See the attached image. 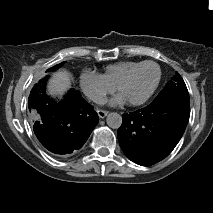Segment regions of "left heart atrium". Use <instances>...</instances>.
<instances>
[{
  "label": "left heart atrium",
  "mask_w": 213,
  "mask_h": 213,
  "mask_svg": "<svg viewBox=\"0 0 213 213\" xmlns=\"http://www.w3.org/2000/svg\"><path fill=\"white\" fill-rule=\"evenodd\" d=\"M110 103L112 105H123L127 103V100L119 93L111 99Z\"/></svg>",
  "instance_id": "39dd6f15"
}]
</instances>
